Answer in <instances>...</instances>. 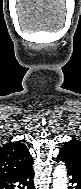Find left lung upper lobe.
<instances>
[{"instance_id":"left-lung-upper-lobe-1","label":"left lung upper lobe","mask_w":81,"mask_h":189,"mask_svg":"<svg viewBox=\"0 0 81 189\" xmlns=\"http://www.w3.org/2000/svg\"><path fill=\"white\" fill-rule=\"evenodd\" d=\"M59 155L63 157L67 168L81 175V141L72 139L66 142Z\"/></svg>"}]
</instances>
